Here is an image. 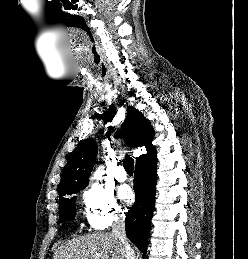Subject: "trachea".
Listing matches in <instances>:
<instances>
[{
  "label": "trachea",
  "instance_id": "3493384b",
  "mask_svg": "<svg viewBox=\"0 0 248 259\" xmlns=\"http://www.w3.org/2000/svg\"><path fill=\"white\" fill-rule=\"evenodd\" d=\"M124 168L128 174H133L134 160L130 155H126L123 161Z\"/></svg>",
  "mask_w": 248,
  "mask_h": 259
}]
</instances>
